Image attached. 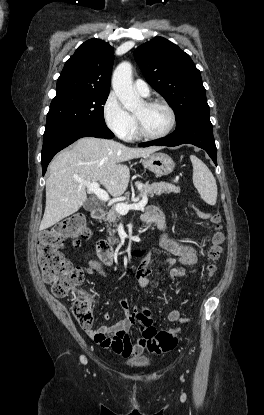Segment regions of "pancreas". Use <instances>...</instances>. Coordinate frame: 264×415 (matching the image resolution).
<instances>
[{
  "label": "pancreas",
  "instance_id": "obj_1",
  "mask_svg": "<svg viewBox=\"0 0 264 415\" xmlns=\"http://www.w3.org/2000/svg\"><path fill=\"white\" fill-rule=\"evenodd\" d=\"M140 196H147V197H153L154 195H161V194H166V193H179L180 192V188L167 183V182H154L152 184L146 183L143 184L140 188ZM126 204L128 203V201L125 202ZM121 216L120 214L116 211L115 206L112 207L106 218L105 221L109 223V228H108V233L111 236L110 237V242L114 245L116 243H119V240L117 238L114 237V234L116 232V230H111L110 227L113 226L115 227L117 225V222L120 220Z\"/></svg>",
  "mask_w": 264,
  "mask_h": 415
}]
</instances>
